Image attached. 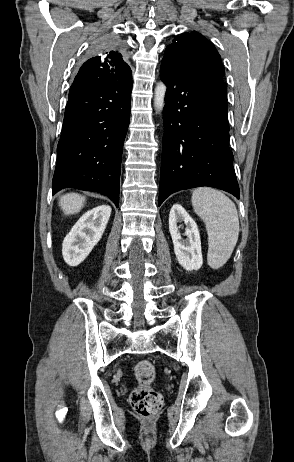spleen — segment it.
<instances>
[{
  "mask_svg": "<svg viewBox=\"0 0 294 462\" xmlns=\"http://www.w3.org/2000/svg\"><path fill=\"white\" fill-rule=\"evenodd\" d=\"M194 211L204 221L208 233V264L214 269L230 258L239 235L235 204L221 191L197 188L192 194Z\"/></svg>",
  "mask_w": 294,
  "mask_h": 462,
  "instance_id": "3e777b00",
  "label": "spleen"
}]
</instances>
